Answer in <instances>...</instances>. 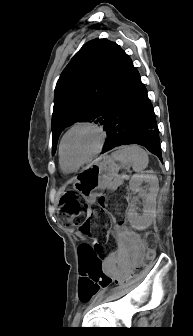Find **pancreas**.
<instances>
[{
  "label": "pancreas",
  "mask_w": 193,
  "mask_h": 336,
  "mask_svg": "<svg viewBox=\"0 0 193 336\" xmlns=\"http://www.w3.org/2000/svg\"><path fill=\"white\" fill-rule=\"evenodd\" d=\"M123 183V177H115L113 182H111L109 187V193H113L118 186H120Z\"/></svg>",
  "instance_id": "pancreas-1"
}]
</instances>
